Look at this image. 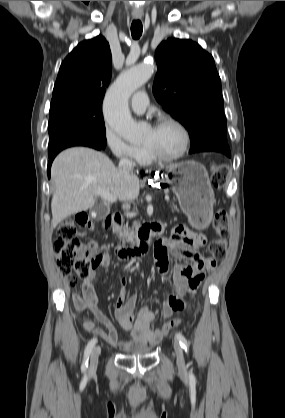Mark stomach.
<instances>
[{"label":"stomach","instance_id":"1","mask_svg":"<svg viewBox=\"0 0 285 418\" xmlns=\"http://www.w3.org/2000/svg\"><path fill=\"white\" fill-rule=\"evenodd\" d=\"M160 177L171 185L190 224L197 229L206 228L211 222L215 201L206 168L188 160L169 166Z\"/></svg>","mask_w":285,"mask_h":418}]
</instances>
